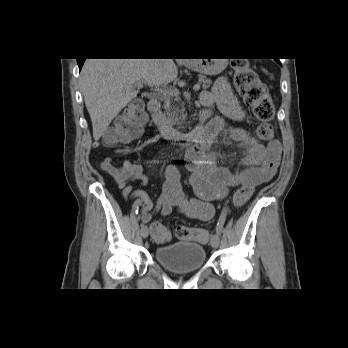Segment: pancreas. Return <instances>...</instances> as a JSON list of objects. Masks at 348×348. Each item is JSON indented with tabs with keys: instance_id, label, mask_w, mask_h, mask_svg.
<instances>
[{
	"instance_id": "1",
	"label": "pancreas",
	"mask_w": 348,
	"mask_h": 348,
	"mask_svg": "<svg viewBox=\"0 0 348 348\" xmlns=\"http://www.w3.org/2000/svg\"><path fill=\"white\" fill-rule=\"evenodd\" d=\"M199 81L202 83L204 90L208 89L212 83L211 80L204 75H199ZM163 108V116L166 123L170 126H177L179 129L183 128L187 114L179 99L168 96Z\"/></svg>"
}]
</instances>
